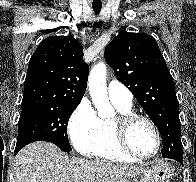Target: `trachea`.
Instances as JSON below:
<instances>
[{
	"label": "trachea",
	"mask_w": 196,
	"mask_h": 182,
	"mask_svg": "<svg viewBox=\"0 0 196 182\" xmlns=\"http://www.w3.org/2000/svg\"><path fill=\"white\" fill-rule=\"evenodd\" d=\"M101 8H102V7H99V6H93V11H94V13H95L96 15H98V14L100 13V11H101Z\"/></svg>",
	"instance_id": "1"
}]
</instances>
